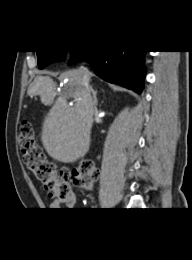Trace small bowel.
I'll list each match as a JSON object with an SVG mask.
<instances>
[{
    "label": "small bowel",
    "instance_id": "c3829d8e",
    "mask_svg": "<svg viewBox=\"0 0 192 260\" xmlns=\"http://www.w3.org/2000/svg\"><path fill=\"white\" fill-rule=\"evenodd\" d=\"M75 203H76L75 193L71 192L69 197H67L66 199H63V200L56 199V200H54L50 204V209L51 210H59L61 208L72 209L74 207Z\"/></svg>",
    "mask_w": 192,
    "mask_h": 260
}]
</instances>
